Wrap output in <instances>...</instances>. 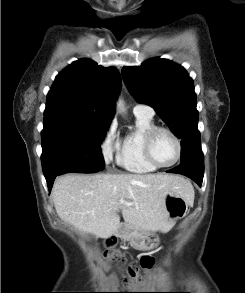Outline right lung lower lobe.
<instances>
[{
	"instance_id": "obj_1",
	"label": "right lung lower lobe",
	"mask_w": 245,
	"mask_h": 293,
	"mask_svg": "<svg viewBox=\"0 0 245 293\" xmlns=\"http://www.w3.org/2000/svg\"><path fill=\"white\" fill-rule=\"evenodd\" d=\"M100 170H95V169H82V168H70V169H65V170H62L60 173L50 177V178H47L46 181H47V185H48V188L49 190H51L52 186H53V182L56 178V176L58 175H61V174H64V173H68V172H78V173H95V172H98Z\"/></svg>"
}]
</instances>
